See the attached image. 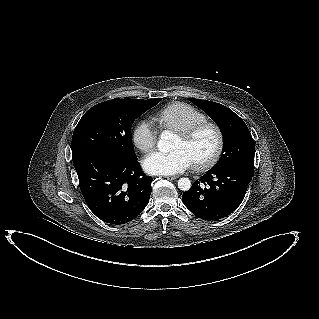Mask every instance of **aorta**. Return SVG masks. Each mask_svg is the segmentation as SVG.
Returning <instances> with one entry per match:
<instances>
[{
    "label": "aorta",
    "mask_w": 319,
    "mask_h": 319,
    "mask_svg": "<svg viewBox=\"0 0 319 319\" xmlns=\"http://www.w3.org/2000/svg\"><path fill=\"white\" fill-rule=\"evenodd\" d=\"M172 134L165 130L162 132L160 140L158 141V149L161 152H169L172 149ZM178 188L182 191H188L191 188V181L188 178H180L178 180Z\"/></svg>",
    "instance_id": "762f6f07"
}]
</instances>
